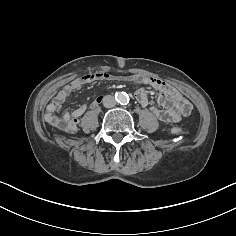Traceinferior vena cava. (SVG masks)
Masks as SVG:
<instances>
[{"label": "inferior vena cava", "mask_w": 236, "mask_h": 236, "mask_svg": "<svg viewBox=\"0 0 236 236\" xmlns=\"http://www.w3.org/2000/svg\"><path fill=\"white\" fill-rule=\"evenodd\" d=\"M103 105L104 107L106 108H112L116 105V100L114 98V96L112 95H106L104 98H103Z\"/></svg>", "instance_id": "602c4592"}]
</instances>
